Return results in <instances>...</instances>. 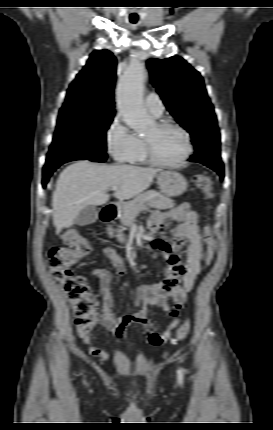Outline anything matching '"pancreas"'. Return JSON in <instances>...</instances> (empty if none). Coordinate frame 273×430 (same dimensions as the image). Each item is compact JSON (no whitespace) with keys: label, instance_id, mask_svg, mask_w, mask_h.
<instances>
[{"label":"pancreas","instance_id":"cf45deb5","mask_svg":"<svg viewBox=\"0 0 273 430\" xmlns=\"http://www.w3.org/2000/svg\"><path fill=\"white\" fill-rule=\"evenodd\" d=\"M147 206L157 209H168L173 207V200L156 190H148L140 194L134 200L124 204L122 214L120 216L122 226L116 230L110 228V234L113 235L115 232V236L118 240L120 242H125L126 239L123 234L124 227L130 226L132 222L135 221L138 214L146 209Z\"/></svg>","mask_w":273,"mask_h":430}]
</instances>
